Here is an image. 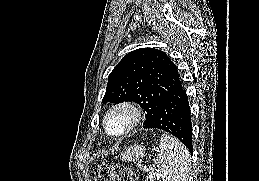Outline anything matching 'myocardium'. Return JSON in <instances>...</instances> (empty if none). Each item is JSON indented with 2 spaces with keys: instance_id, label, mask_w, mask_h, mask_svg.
Instances as JSON below:
<instances>
[{
  "instance_id": "1",
  "label": "myocardium",
  "mask_w": 259,
  "mask_h": 181,
  "mask_svg": "<svg viewBox=\"0 0 259 181\" xmlns=\"http://www.w3.org/2000/svg\"><path fill=\"white\" fill-rule=\"evenodd\" d=\"M118 113H123L127 116L125 126L119 131L110 129V119ZM142 112L140 108L131 101H120L113 104L105 113L103 118V126L106 133L113 137H121L131 132L141 121Z\"/></svg>"
}]
</instances>
